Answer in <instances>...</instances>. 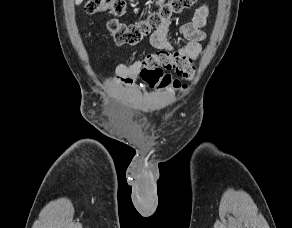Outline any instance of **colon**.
Returning a JSON list of instances; mask_svg holds the SVG:
<instances>
[{
    "mask_svg": "<svg viewBox=\"0 0 292 228\" xmlns=\"http://www.w3.org/2000/svg\"><path fill=\"white\" fill-rule=\"evenodd\" d=\"M197 1L164 0L158 8L149 12L144 18L130 24L113 19L108 23V29L118 45L135 46L153 29H157L164 20L169 19L172 14L191 8ZM126 8V0H88L85 6L86 12L89 14L107 12L115 16L123 15ZM162 69H172L186 80H191L194 76V67L188 65L176 54L157 52L143 60L140 78L150 87L156 85L161 87L171 86L175 90L185 87L180 81L172 79L169 75H164ZM123 81L131 83L132 79L125 77Z\"/></svg>",
    "mask_w": 292,
    "mask_h": 228,
    "instance_id": "obj_1",
    "label": "colon"
}]
</instances>
